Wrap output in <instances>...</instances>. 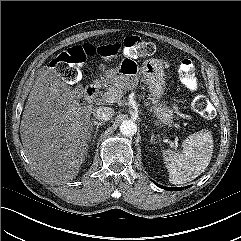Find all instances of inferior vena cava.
<instances>
[{
    "label": "inferior vena cava",
    "mask_w": 241,
    "mask_h": 241,
    "mask_svg": "<svg viewBox=\"0 0 241 241\" xmlns=\"http://www.w3.org/2000/svg\"><path fill=\"white\" fill-rule=\"evenodd\" d=\"M114 110L110 107H96L93 110V116L100 121H108L114 116Z\"/></svg>",
    "instance_id": "1"
}]
</instances>
